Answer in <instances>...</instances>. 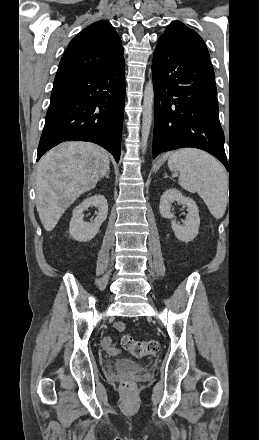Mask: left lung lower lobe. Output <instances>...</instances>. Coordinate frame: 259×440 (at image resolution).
<instances>
[{
    "label": "left lung lower lobe",
    "instance_id": "1",
    "mask_svg": "<svg viewBox=\"0 0 259 440\" xmlns=\"http://www.w3.org/2000/svg\"><path fill=\"white\" fill-rule=\"evenodd\" d=\"M152 74L155 94L153 157L163 151L198 148L214 155L228 170L209 56L158 42Z\"/></svg>",
    "mask_w": 259,
    "mask_h": 440
}]
</instances>
